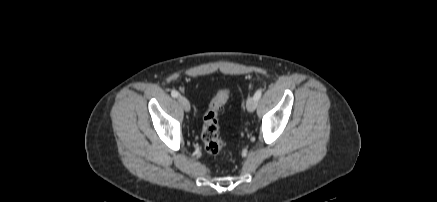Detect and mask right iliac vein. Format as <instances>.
I'll return each mask as SVG.
<instances>
[{
	"label": "right iliac vein",
	"instance_id": "63e3f726",
	"mask_svg": "<svg viewBox=\"0 0 437 202\" xmlns=\"http://www.w3.org/2000/svg\"><path fill=\"white\" fill-rule=\"evenodd\" d=\"M178 101L186 112L190 111V102L187 98H185L184 96H179Z\"/></svg>",
	"mask_w": 437,
	"mask_h": 202
}]
</instances>
